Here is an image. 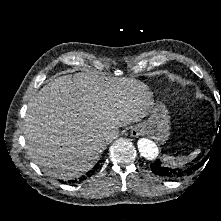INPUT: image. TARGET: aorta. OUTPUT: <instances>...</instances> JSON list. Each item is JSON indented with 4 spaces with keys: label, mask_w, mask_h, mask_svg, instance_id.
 Segmentation results:
<instances>
[{
    "label": "aorta",
    "mask_w": 221,
    "mask_h": 221,
    "mask_svg": "<svg viewBox=\"0 0 221 221\" xmlns=\"http://www.w3.org/2000/svg\"><path fill=\"white\" fill-rule=\"evenodd\" d=\"M137 147L140 154L148 160L156 159L159 154L157 145L153 141L146 138L138 140Z\"/></svg>",
    "instance_id": "1"
}]
</instances>
